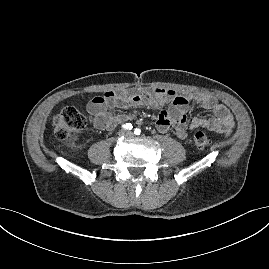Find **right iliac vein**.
<instances>
[{
    "label": "right iliac vein",
    "mask_w": 269,
    "mask_h": 269,
    "mask_svg": "<svg viewBox=\"0 0 269 269\" xmlns=\"http://www.w3.org/2000/svg\"><path fill=\"white\" fill-rule=\"evenodd\" d=\"M120 136H123V135H125L126 134V132L124 131V130H121V131H119V133H118Z\"/></svg>",
    "instance_id": "obj_1"
}]
</instances>
